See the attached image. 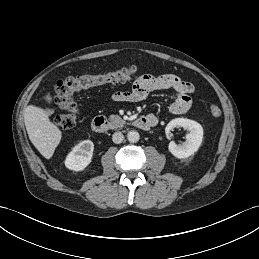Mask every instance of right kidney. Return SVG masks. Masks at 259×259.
<instances>
[{"instance_id":"obj_1","label":"right kidney","mask_w":259,"mask_h":259,"mask_svg":"<svg viewBox=\"0 0 259 259\" xmlns=\"http://www.w3.org/2000/svg\"><path fill=\"white\" fill-rule=\"evenodd\" d=\"M94 144L91 140H84L75 145L65 159V166L73 171H82L93 157Z\"/></svg>"}]
</instances>
